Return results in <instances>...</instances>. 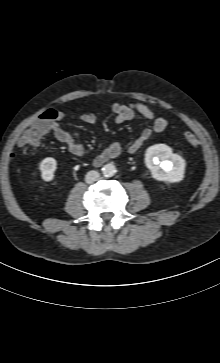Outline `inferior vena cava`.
<instances>
[{"mask_svg": "<svg viewBox=\"0 0 220 363\" xmlns=\"http://www.w3.org/2000/svg\"><path fill=\"white\" fill-rule=\"evenodd\" d=\"M99 177H100V174L97 171L91 170L86 174L85 181H86V183L91 184V183L97 181L99 179Z\"/></svg>", "mask_w": 220, "mask_h": 363, "instance_id": "inferior-vena-cava-1", "label": "inferior vena cava"}]
</instances>
